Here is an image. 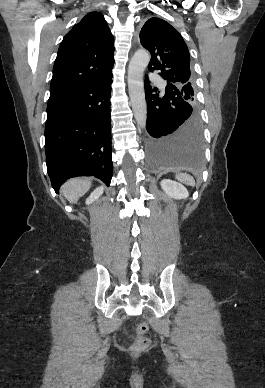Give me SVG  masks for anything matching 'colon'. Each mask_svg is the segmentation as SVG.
I'll return each instance as SVG.
<instances>
[{"label":"colon","instance_id":"colon-1","mask_svg":"<svg viewBox=\"0 0 265 388\" xmlns=\"http://www.w3.org/2000/svg\"><path fill=\"white\" fill-rule=\"evenodd\" d=\"M148 330H149V326L146 322H141L137 326L134 349L141 350L146 348L149 345V339L145 337V334L148 332Z\"/></svg>","mask_w":265,"mask_h":388}]
</instances>
